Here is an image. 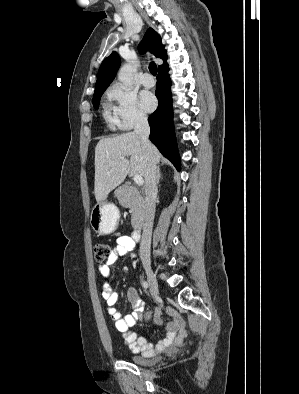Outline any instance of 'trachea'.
<instances>
[{
	"label": "trachea",
	"instance_id": "1",
	"mask_svg": "<svg viewBox=\"0 0 299 394\" xmlns=\"http://www.w3.org/2000/svg\"><path fill=\"white\" fill-rule=\"evenodd\" d=\"M149 71L151 72L152 75L156 76L157 75V66L155 63H150L149 65Z\"/></svg>",
	"mask_w": 299,
	"mask_h": 394
}]
</instances>
